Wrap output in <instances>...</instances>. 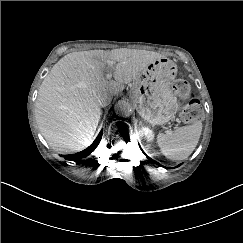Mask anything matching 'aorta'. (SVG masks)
I'll return each instance as SVG.
<instances>
[{"mask_svg": "<svg viewBox=\"0 0 243 243\" xmlns=\"http://www.w3.org/2000/svg\"><path fill=\"white\" fill-rule=\"evenodd\" d=\"M114 108L117 114L123 116L129 113L131 107L128 101L122 99L116 102Z\"/></svg>", "mask_w": 243, "mask_h": 243, "instance_id": "obj_1", "label": "aorta"}]
</instances>
